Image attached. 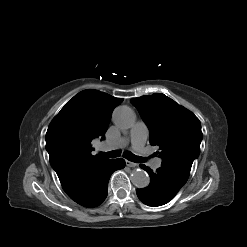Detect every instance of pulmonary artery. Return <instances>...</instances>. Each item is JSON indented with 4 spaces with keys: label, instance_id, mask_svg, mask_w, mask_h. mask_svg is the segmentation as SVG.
I'll return each mask as SVG.
<instances>
[{
    "label": "pulmonary artery",
    "instance_id": "pulmonary-artery-1",
    "mask_svg": "<svg viewBox=\"0 0 247 247\" xmlns=\"http://www.w3.org/2000/svg\"><path fill=\"white\" fill-rule=\"evenodd\" d=\"M149 131L147 125L143 121H138L134 124L130 131V141L132 143L133 148L136 151H142L145 142L147 140ZM126 139H121L118 144H125ZM162 160L161 158H157L153 161L152 166L154 168H159L161 166Z\"/></svg>",
    "mask_w": 247,
    "mask_h": 247
}]
</instances>
